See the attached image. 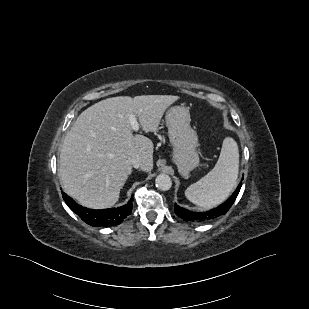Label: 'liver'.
Returning <instances> with one entry per match:
<instances>
[{"mask_svg": "<svg viewBox=\"0 0 309 309\" xmlns=\"http://www.w3.org/2000/svg\"><path fill=\"white\" fill-rule=\"evenodd\" d=\"M180 97L173 95L118 96L87 108L66 134L60 152L59 175L64 191L88 208L112 207L132 172L131 158L141 169H153V142L133 135L130 115L145 132L158 129L165 110Z\"/></svg>", "mask_w": 309, "mask_h": 309, "instance_id": "liver-1", "label": "liver"}]
</instances>
